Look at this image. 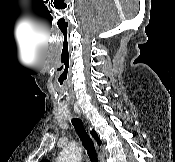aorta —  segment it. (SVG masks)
Listing matches in <instances>:
<instances>
[{"mask_svg": "<svg viewBox=\"0 0 175 162\" xmlns=\"http://www.w3.org/2000/svg\"><path fill=\"white\" fill-rule=\"evenodd\" d=\"M82 149L76 143H70L63 149L57 158V162H81Z\"/></svg>", "mask_w": 175, "mask_h": 162, "instance_id": "aorta-1", "label": "aorta"}]
</instances>
